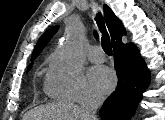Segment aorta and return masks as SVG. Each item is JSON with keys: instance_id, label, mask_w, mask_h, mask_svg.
<instances>
[{"instance_id": "obj_1", "label": "aorta", "mask_w": 165, "mask_h": 120, "mask_svg": "<svg viewBox=\"0 0 165 120\" xmlns=\"http://www.w3.org/2000/svg\"><path fill=\"white\" fill-rule=\"evenodd\" d=\"M83 28L78 20H74L60 48V59L70 72L79 70L83 61Z\"/></svg>"}]
</instances>
